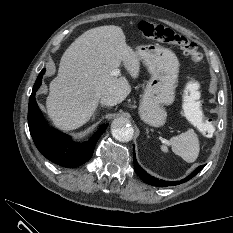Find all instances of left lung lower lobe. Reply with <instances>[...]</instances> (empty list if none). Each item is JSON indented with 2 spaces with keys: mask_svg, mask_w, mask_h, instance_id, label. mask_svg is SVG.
Masks as SVG:
<instances>
[{
  "mask_svg": "<svg viewBox=\"0 0 233 233\" xmlns=\"http://www.w3.org/2000/svg\"><path fill=\"white\" fill-rule=\"evenodd\" d=\"M133 154H134V168H135V172L138 174V176L146 183L153 185V186H169V185H178L180 183H184L188 180H190L191 178H193L198 172H200L204 166H199L194 172L191 173V175H189L188 177H186L185 179L181 180V181H176V182H166V181H160L159 179L150 176L149 174L146 173V171H144L139 164L137 163L136 159H135V151L133 150Z\"/></svg>",
  "mask_w": 233,
  "mask_h": 233,
  "instance_id": "1",
  "label": "left lung lower lobe"
}]
</instances>
